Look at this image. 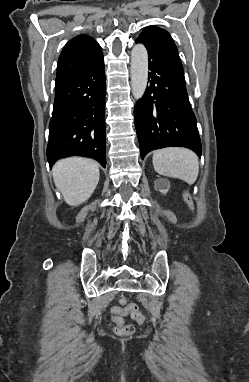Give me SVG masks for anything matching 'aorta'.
<instances>
[{"instance_id":"obj_1","label":"aorta","mask_w":249,"mask_h":382,"mask_svg":"<svg viewBox=\"0 0 249 382\" xmlns=\"http://www.w3.org/2000/svg\"><path fill=\"white\" fill-rule=\"evenodd\" d=\"M148 81V52L143 44H136L131 51V87L136 100L140 99Z\"/></svg>"}]
</instances>
